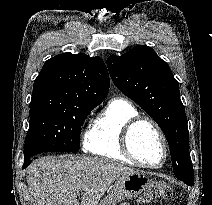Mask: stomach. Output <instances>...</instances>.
<instances>
[{
	"instance_id": "1",
	"label": "stomach",
	"mask_w": 212,
	"mask_h": 205,
	"mask_svg": "<svg viewBox=\"0 0 212 205\" xmlns=\"http://www.w3.org/2000/svg\"><path fill=\"white\" fill-rule=\"evenodd\" d=\"M150 184L149 177L142 172H133L116 180L99 205H117L123 200L132 199L141 194Z\"/></svg>"
}]
</instances>
